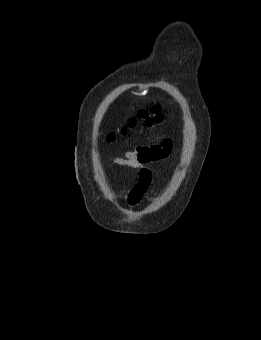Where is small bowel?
Returning a JSON list of instances; mask_svg holds the SVG:
<instances>
[{
    "label": "small bowel",
    "instance_id": "1",
    "mask_svg": "<svg viewBox=\"0 0 261 340\" xmlns=\"http://www.w3.org/2000/svg\"><path fill=\"white\" fill-rule=\"evenodd\" d=\"M172 148V140L165 138L158 144L140 146L134 150H127L120 157L114 159V162L118 165L138 170L137 183L124 195L130 207H134L140 203L149 192V186L152 180V172L149 164L168 157Z\"/></svg>",
    "mask_w": 261,
    "mask_h": 340
}]
</instances>
